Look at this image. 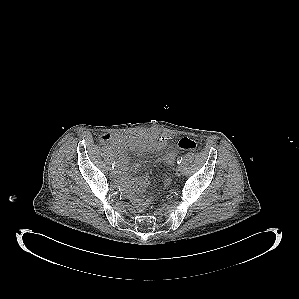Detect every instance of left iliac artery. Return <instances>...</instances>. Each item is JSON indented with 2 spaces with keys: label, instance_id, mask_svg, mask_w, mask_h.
<instances>
[{
  "label": "left iliac artery",
  "instance_id": "left-iliac-artery-1",
  "mask_svg": "<svg viewBox=\"0 0 299 299\" xmlns=\"http://www.w3.org/2000/svg\"><path fill=\"white\" fill-rule=\"evenodd\" d=\"M182 160H183L182 157H179V158L177 159V163H178V164H181V163H182Z\"/></svg>",
  "mask_w": 299,
  "mask_h": 299
}]
</instances>
